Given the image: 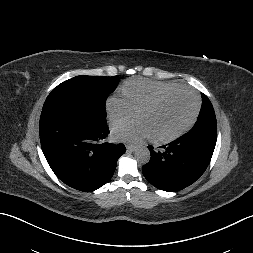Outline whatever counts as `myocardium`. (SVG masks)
Instances as JSON below:
<instances>
[{
    "label": "myocardium",
    "mask_w": 253,
    "mask_h": 253,
    "mask_svg": "<svg viewBox=\"0 0 253 253\" xmlns=\"http://www.w3.org/2000/svg\"><path fill=\"white\" fill-rule=\"evenodd\" d=\"M179 91H187L193 95L195 102H196L194 113L191 116L190 120L183 127H181L179 130H177L173 134L165 136V137L153 138L152 139L153 142H155L157 144H166V143L176 140L177 138L182 136L184 133H186L194 125V123L199 115L200 108H201V101H200L198 94L193 89H191L187 86L178 85V86L173 87L171 89L160 92L159 94L154 96L151 100H149L147 103L142 105L137 111V115H138L140 112L154 107L161 100H163L165 97H167L175 92H179Z\"/></svg>",
    "instance_id": "1"
}]
</instances>
